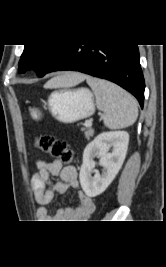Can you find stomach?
I'll return each mask as SVG.
<instances>
[{
    "instance_id": "1",
    "label": "stomach",
    "mask_w": 166,
    "mask_h": 267,
    "mask_svg": "<svg viewBox=\"0 0 166 267\" xmlns=\"http://www.w3.org/2000/svg\"><path fill=\"white\" fill-rule=\"evenodd\" d=\"M48 109L58 121L73 123L90 117L95 112L94 97L87 88H62L55 90L48 97ZM31 116L34 119L40 117V113L32 109Z\"/></svg>"
}]
</instances>
